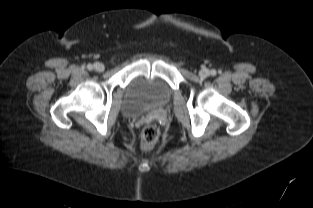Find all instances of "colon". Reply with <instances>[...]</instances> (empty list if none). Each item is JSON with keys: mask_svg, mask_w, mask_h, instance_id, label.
I'll return each instance as SVG.
<instances>
[{"mask_svg": "<svg viewBox=\"0 0 313 208\" xmlns=\"http://www.w3.org/2000/svg\"><path fill=\"white\" fill-rule=\"evenodd\" d=\"M141 147L144 151L151 150L159 138V129L155 125H146L141 131Z\"/></svg>", "mask_w": 313, "mask_h": 208, "instance_id": "obj_1", "label": "colon"}]
</instances>
